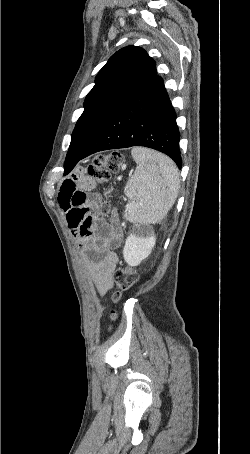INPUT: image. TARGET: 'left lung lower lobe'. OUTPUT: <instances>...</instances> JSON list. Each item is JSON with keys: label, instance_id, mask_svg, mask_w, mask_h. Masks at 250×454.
Returning <instances> with one entry per match:
<instances>
[{"label": "left lung lower lobe", "instance_id": "left-lung-lower-lobe-1", "mask_svg": "<svg viewBox=\"0 0 250 454\" xmlns=\"http://www.w3.org/2000/svg\"><path fill=\"white\" fill-rule=\"evenodd\" d=\"M179 139L175 110L156 76L104 122L82 155L67 154L64 175L93 153L131 146L163 152L181 169Z\"/></svg>", "mask_w": 250, "mask_h": 454}]
</instances>
